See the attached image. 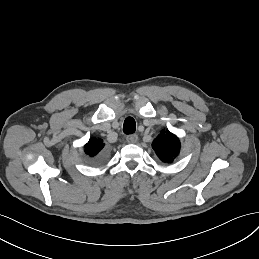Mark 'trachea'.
Listing matches in <instances>:
<instances>
[{"label":"trachea","instance_id":"1","mask_svg":"<svg viewBox=\"0 0 259 259\" xmlns=\"http://www.w3.org/2000/svg\"><path fill=\"white\" fill-rule=\"evenodd\" d=\"M136 130V124L132 117L126 118L123 125V131L125 134H132Z\"/></svg>","mask_w":259,"mask_h":259}]
</instances>
